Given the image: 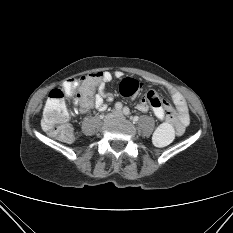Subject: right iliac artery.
I'll use <instances>...</instances> for the list:
<instances>
[{
  "mask_svg": "<svg viewBox=\"0 0 233 233\" xmlns=\"http://www.w3.org/2000/svg\"><path fill=\"white\" fill-rule=\"evenodd\" d=\"M115 107H116L117 110H120L122 108V104L121 103H117L115 105Z\"/></svg>",
  "mask_w": 233,
  "mask_h": 233,
  "instance_id": "right-iliac-artery-1",
  "label": "right iliac artery"
}]
</instances>
